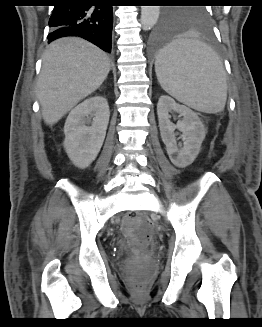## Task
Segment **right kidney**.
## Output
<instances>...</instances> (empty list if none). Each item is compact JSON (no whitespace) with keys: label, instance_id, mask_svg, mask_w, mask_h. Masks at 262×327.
Returning a JSON list of instances; mask_svg holds the SVG:
<instances>
[{"label":"right kidney","instance_id":"obj_1","mask_svg":"<svg viewBox=\"0 0 262 327\" xmlns=\"http://www.w3.org/2000/svg\"><path fill=\"white\" fill-rule=\"evenodd\" d=\"M109 116L108 102L101 96L90 97L71 110L64 126L63 145L75 166L86 168L95 160L105 139ZM90 122L91 126H87Z\"/></svg>","mask_w":262,"mask_h":327}]
</instances>
